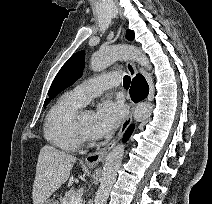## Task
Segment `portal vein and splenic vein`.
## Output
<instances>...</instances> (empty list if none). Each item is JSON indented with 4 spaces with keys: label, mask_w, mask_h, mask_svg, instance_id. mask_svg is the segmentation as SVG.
I'll return each mask as SVG.
<instances>
[{
    "label": "portal vein and splenic vein",
    "mask_w": 212,
    "mask_h": 204,
    "mask_svg": "<svg viewBox=\"0 0 212 204\" xmlns=\"http://www.w3.org/2000/svg\"><path fill=\"white\" fill-rule=\"evenodd\" d=\"M69 204H82V198L80 195L73 196L69 200Z\"/></svg>",
    "instance_id": "obj_1"
}]
</instances>
